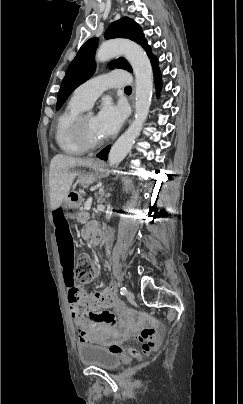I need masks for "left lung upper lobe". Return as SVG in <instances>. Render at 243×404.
Listing matches in <instances>:
<instances>
[{"instance_id": "left-lung-upper-lobe-1", "label": "left lung upper lobe", "mask_w": 243, "mask_h": 404, "mask_svg": "<svg viewBox=\"0 0 243 404\" xmlns=\"http://www.w3.org/2000/svg\"><path fill=\"white\" fill-rule=\"evenodd\" d=\"M106 39L128 38L140 44L147 52L149 58H154L151 47L144 37L141 27L132 19L123 17L112 23L105 33ZM98 46V40L91 38L86 41L78 51L74 60L70 63L66 75L62 81L56 109L58 110L66 101L68 96L82 83L87 81L95 71L94 56ZM109 68H121L132 71L130 64L124 59L119 58L109 63Z\"/></svg>"}]
</instances>
